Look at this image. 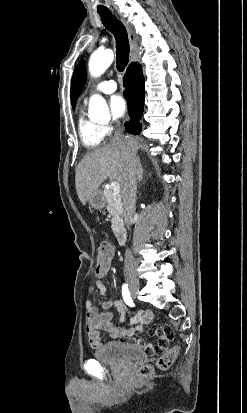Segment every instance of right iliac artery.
Wrapping results in <instances>:
<instances>
[{"mask_svg":"<svg viewBox=\"0 0 247 413\" xmlns=\"http://www.w3.org/2000/svg\"><path fill=\"white\" fill-rule=\"evenodd\" d=\"M122 296H123V299H124L125 303H126L128 306H130V307H133V306H134L133 300H132V298H131V296H130V292H129V289H128V285H123V286H122Z\"/></svg>","mask_w":247,"mask_h":413,"instance_id":"1","label":"right iliac artery"}]
</instances>
